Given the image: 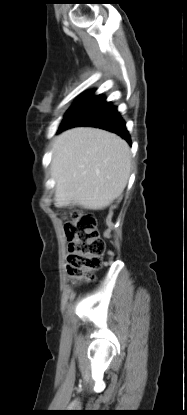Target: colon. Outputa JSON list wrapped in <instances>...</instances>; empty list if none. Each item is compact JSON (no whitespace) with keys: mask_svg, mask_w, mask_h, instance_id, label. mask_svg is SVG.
Masks as SVG:
<instances>
[{"mask_svg":"<svg viewBox=\"0 0 187 415\" xmlns=\"http://www.w3.org/2000/svg\"><path fill=\"white\" fill-rule=\"evenodd\" d=\"M68 240L67 270L73 280H88L102 266L105 250L96 219L90 213L75 211L65 224Z\"/></svg>","mask_w":187,"mask_h":415,"instance_id":"1","label":"colon"}]
</instances>
